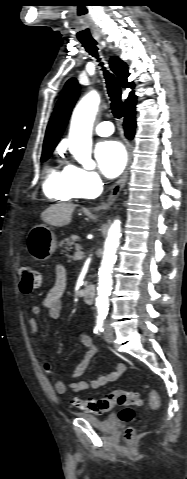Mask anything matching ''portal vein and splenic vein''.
I'll list each match as a JSON object with an SVG mask.
<instances>
[{"mask_svg": "<svg viewBox=\"0 0 187 479\" xmlns=\"http://www.w3.org/2000/svg\"><path fill=\"white\" fill-rule=\"evenodd\" d=\"M76 259H82L84 256V252L81 250L80 246H76V252L74 254Z\"/></svg>", "mask_w": 187, "mask_h": 479, "instance_id": "portal-vein-and-splenic-vein-1", "label": "portal vein and splenic vein"}]
</instances>
